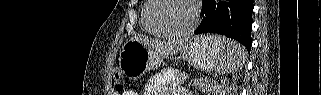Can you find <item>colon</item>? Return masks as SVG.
<instances>
[{
  "label": "colon",
  "mask_w": 321,
  "mask_h": 95,
  "mask_svg": "<svg viewBox=\"0 0 321 95\" xmlns=\"http://www.w3.org/2000/svg\"><path fill=\"white\" fill-rule=\"evenodd\" d=\"M113 84L117 91L122 92L125 89V81L120 73V71L116 70L113 74Z\"/></svg>",
  "instance_id": "1"
}]
</instances>
